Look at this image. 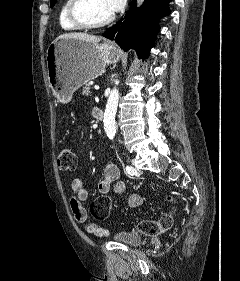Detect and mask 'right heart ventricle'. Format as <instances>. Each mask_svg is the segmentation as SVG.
<instances>
[{"mask_svg":"<svg viewBox=\"0 0 240 281\" xmlns=\"http://www.w3.org/2000/svg\"><path fill=\"white\" fill-rule=\"evenodd\" d=\"M69 4V0H64L63 4L61 5L60 11H59V24L61 28L65 31H76L80 28L75 26L73 23L70 22L67 16V7Z\"/></svg>","mask_w":240,"mask_h":281,"instance_id":"1","label":"right heart ventricle"}]
</instances>
